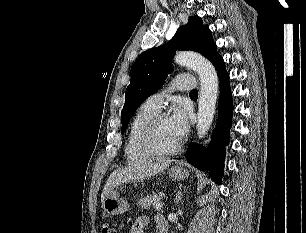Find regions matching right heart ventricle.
I'll list each match as a JSON object with an SVG mask.
<instances>
[{
    "instance_id": "e07e8e85",
    "label": "right heart ventricle",
    "mask_w": 306,
    "mask_h": 233,
    "mask_svg": "<svg viewBox=\"0 0 306 233\" xmlns=\"http://www.w3.org/2000/svg\"><path fill=\"white\" fill-rule=\"evenodd\" d=\"M155 110L144 103L132 118L125 146V155L129 163H138L150 159L152 156L143 152L139 145V138L146 123L156 114Z\"/></svg>"
}]
</instances>
